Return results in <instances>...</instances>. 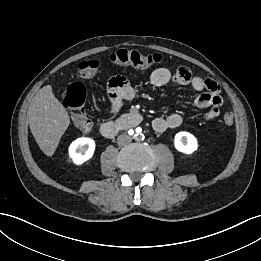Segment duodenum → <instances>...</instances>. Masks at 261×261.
Returning a JSON list of instances; mask_svg holds the SVG:
<instances>
[{
	"label": "duodenum",
	"mask_w": 261,
	"mask_h": 261,
	"mask_svg": "<svg viewBox=\"0 0 261 261\" xmlns=\"http://www.w3.org/2000/svg\"><path fill=\"white\" fill-rule=\"evenodd\" d=\"M142 116L138 113H128L115 121L105 122L100 126V133L106 138H112L119 132L138 126Z\"/></svg>",
	"instance_id": "1"
}]
</instances>
